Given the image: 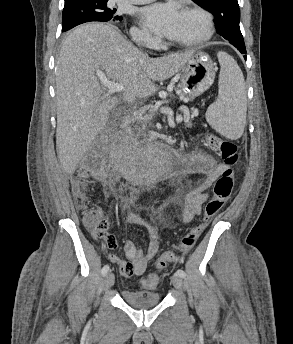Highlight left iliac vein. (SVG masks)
I'll use <instances>...</instances> for the list:
<instances>
[{"label":"left iliac vein","instance_id":"1","mask_svg":"<svg viewBox=\"0 0 293 344\" xmlns=\"http://www.w3.org/2000/svg\"><path fill=\"white\" fill-rule=\"evenodd\" d=\"M171 282L173 284V286L178 289V290H181L182 289V286H183V281H182V278L178 275H173L171 277Z\"/></svg>","mask_w":293,"mask_h":344}]
</instances>
